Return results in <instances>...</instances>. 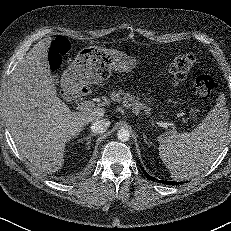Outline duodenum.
Returning a JSON list of instances; mask_svg holds the SVG:
<instances>
[{
	"label": "duodenum",
	"mask_w": 231,
	"mask_h": 231,
	"mask_svg": "<svg viewBox=\"0 0 231 231\" xmlns=\"http://www.w3.org/2000/svg\"><path fill=\"white\" fill-rule=\"evenodd\" d=\"M64 92L69 100L83 99L90 94V89L84 85H76L71 79L64 80Z\"/></svg>",
	"instance_id": "obj_1"
}]
</instances>
